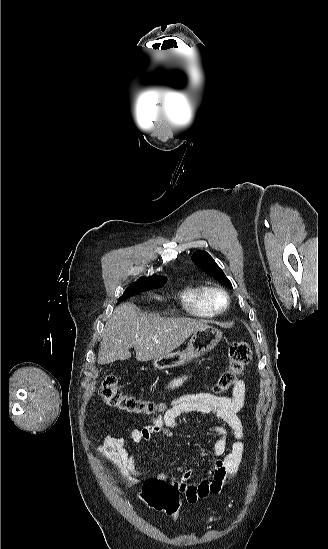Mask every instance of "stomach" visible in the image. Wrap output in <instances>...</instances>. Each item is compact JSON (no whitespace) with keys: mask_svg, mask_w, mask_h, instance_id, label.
<instances>
[{"mask_svg":"<svg viewBox=\"0 0 328 549\" xmlns=\"http://www.w3.org/2000/svg\"><path fill=\"white\" fill-rule=\"evenodd\" d=\"M222 339V333L219 329H215L212 325H207L203 329H198L196 333H193L185 351H178V353H168L163 357L154 359L153 365L155 369H174V367H181L185 363H189L192 359H198L201 355L209 353L211 349H214Z\"/></svg>","mask_w":328,"mask_h":549,"instance_id":"1","label":"stomach"}]
</instances>
